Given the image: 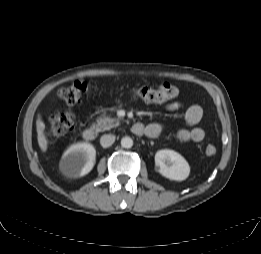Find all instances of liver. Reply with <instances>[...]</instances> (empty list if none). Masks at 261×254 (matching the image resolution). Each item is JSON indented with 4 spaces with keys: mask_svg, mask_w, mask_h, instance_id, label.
I'll return each instance as SVG.
<instances>
[{
    "mask_svg": "<svg viewBox=\"0 0 261 254\" xmlns=\"http://www.w3.org/2000/svg\"><path fill=\"white\" fill-rule=\"evenodd\" d=\"M44 129H45V124L43 121L38 120L37 121V133H38V144L39 147L42 151H45L47 149V142L44 136Z\"/></svg>",
    "mask_w": 261,
    "mask_h": 254,
    "instance_id": "liver-1",
    "label": "liver"
}]
</instances>
